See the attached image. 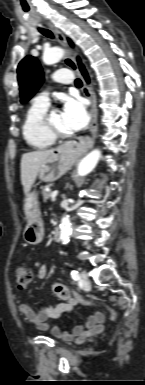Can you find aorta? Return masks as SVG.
<instances>
[{
	"label": "aorta",
	"instance_id": "1",
	"mask_svg": "<svg viewBox=\"0 0 145 385\" xmlns=\"http://www.w3.org/2000/svg\"><path fill=\"white\" fill-rule=\"evenodd\" d=\"M65 51L61 48L55 47L48 51H46L43 55V61L45 64L50 65L54 64L63 57ZM101 156V152L98 149H95L88 153L79 163L78 165V175L85 176L90 173L95 166L97 165ZM71 232V223L69 220V216L66 215L62 218L60 224V240L63 244H67L69 242Z\"/></svg>",
	"mask_w": 145,
	"mask_h": 385
}]
</instances>
